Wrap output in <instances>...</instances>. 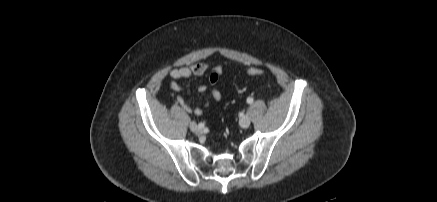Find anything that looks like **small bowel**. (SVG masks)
<instances>
[{
	"instance_id": "small-bowel-1",
	"label": "small bowel",
	"mask_w": 437,
	"mask_h": 202,
	"mask_svg": "<svg viewBox=\"0 0 437 202\" xmlns=\"http://www.w3.org/2000/svg\"><path fill=\"white\" fill-rule=\"evenodd\" d=\"M209 69V65L207 63L201 62V63H196L187 67H179V68H173L169 71V76L174 79V80H178V79H189V78H193V77H200L203 76ZM223 71V66L222 65H218L214 68H212V70L209 73V82L211 84H216L219 80V77L221 75ZM171 89L174 91H181L183 89V87L178 84L177 82H172L170 85ZM199 92H206L207 91V86L205 84H199L197 87ZM222 100V94L220 91L218 90H212L209 92L208 94V98L205 102V106H208L211 102H220ZM178 103L181 105V107L189 112V113H194L196 115H201L202 114V109L199 107H194L191 104H189L188 102L185 101V99L183 97H178Z\"/></svg>"
}]
</instances>
